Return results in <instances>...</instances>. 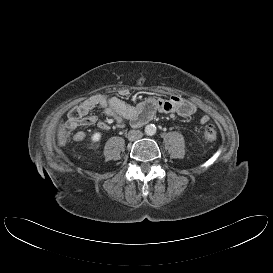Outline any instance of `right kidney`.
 Listing matches in <instances>:
<instances>
[{
	"label": "right kidney",
	"mask_w": 273,
	"mask_h": 273,
	"mask_svg": "<svg viewBox=\"0 0 273 273\" xmlns=\"http://www.w3.org/2000/svg\"><path fill=\"white\" fill-rule=\"evenodd\" d=\"M101 136H102V135H101L100 132H95V133L93 134V136L91 137V141H92L93 143H96V142L100 141Z\"/></svg>",
	"instance_id": "1"
}]
</instances>
